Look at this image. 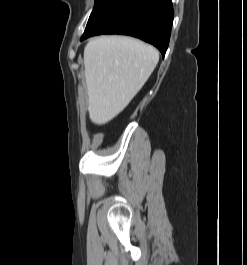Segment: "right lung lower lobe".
Masks as SVG:
<instances>
[{"label": "right lung lower lobe", "instance_id": "98d812e1", "mask_svg": "<svg viewBox=\"0 0 247 265\" xmlns=\"http://www.w3.org/2000/svg\"><path fill=\"white\" fill-rule=\"evenodd\" d=\"M174 11L171 0H101L92 11L81 41L99 34H124L168 48Z\"/></svg>", "mask_w": 247, "mask_h": 265}]
</instances>
